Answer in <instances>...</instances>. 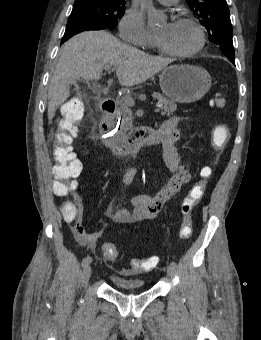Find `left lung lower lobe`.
Wrapping results in <instances>:
<instances>
[{"mask_svg":"<svg viewBox=\"0 0 261 340\" xmlns=\"http://www.w3.org/2000/svg\"><path fill=\"white\" fill-rule=\"evenodd\" d=\"M233 64H235V60L234 59H229Z\"/></svg>","mask_w":261,"mask_h":340,"instance_id":"obj_1","label":"left lung lower lobe"}]
</instances>
